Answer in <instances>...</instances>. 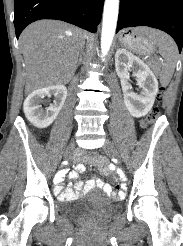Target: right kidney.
Here are the masks:
<instances>
[{
	"instance_id": "1",
	"label": "right kidney",
	"mask_w": 183,
	"mask_h": 246,
	"mask_svg": "<svg viewBox=\"0 0 183 246\" xmlns=\"http://www.w3.org/2000/svg\"><path fill=\"white\" fill-rule=\"evenodd\" d=\"M54 96L53 104L42 108L45 97ZM67 97L64 85H53L33 91L24 101L23 110L26 118L37 128H46L53 123L62 109Z\"/></svg>"
}]
</instances>
